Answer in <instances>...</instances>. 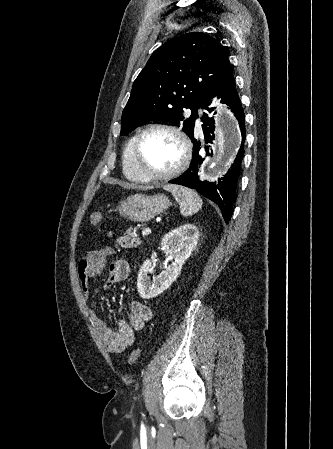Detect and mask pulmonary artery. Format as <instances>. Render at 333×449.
I'll return each instance as SVG.
<instances>
[{"instance_id":"1","label":"pulmonary artery","mask_w":333,"mask_h":449,"mask_svg":"<svg viewBox=\"0 0 333 449\" xmlns=\"http://www.w3.org/2000/svg\"><path fill=\"white\" fill-rule=\"evenodd\" d=\"M198 127H200V122H198Z\"/></svg>"}]
</instances>
